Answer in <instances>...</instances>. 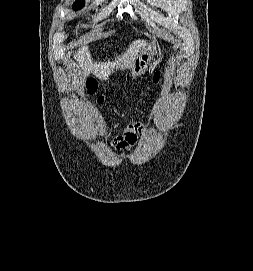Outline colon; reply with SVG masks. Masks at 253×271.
Returning a JSON list of instances; mask_svg holds the SVG:
<instances>
[{"instance_id":"obj_1","label":"colon","mask_w":253,"mask_h":271,"mask_svg":"<svg viewBox=\"0 0 253 271\" xmlns=\"http://www.w3.org/2000/svg\"><path fill=\"white\" fill-rule=\"evenodd\" d=\"M167 65L163 64L162 67L155 73L154 77H153V84L154 85H158L162 79V74L165 71ZM87 87L89 88L90 92H94L95 91V82L93 80H89L87 82ZM99 102L102 101V97L98 98Z\"/></svg>"}]
</instances>
